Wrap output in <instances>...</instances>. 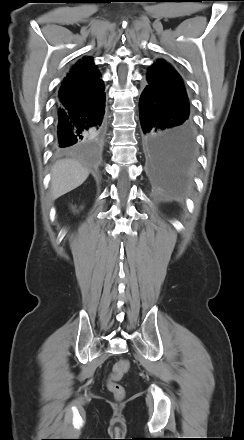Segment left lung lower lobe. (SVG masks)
Here are the masks:
<instances>
[{
    "instance_id": "1",
    "label": "left lung lower lobe",
    "mask_w": 244,
    "mask_h": 440,
    "mask_svg": "<svg viewBox=\"0 0 244 440\" xmlns=\"http://www.w3.org/2000/svg\"><path fill=\"white\" fill-rule=\"evenodd\" d=\"M139 112L151 170L180 185L187 184L197 155L190 111L179 108L147 85L140 97Z\"/></svg>"
}]
</instances>
